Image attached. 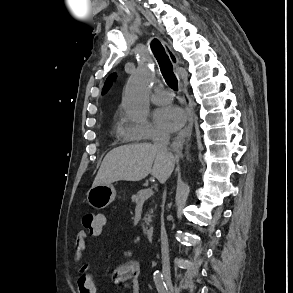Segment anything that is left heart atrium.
<instances>
[{
    "instance_id": "obj_1",
    "label": "left heart atrium",
    "mask_w": 293,
    "mask_h": 293,
    "mask_svg": "<svg viewBox=\"0 0 293 293\" xmlns=\"http://www.w3.org/2000/svg\"><path fill=\"white\" fill-rule=\"evenodd\" d=\"M156 125L166 132H173L180 128L185 120L183 111L173 105L158 108L153 114Z\"/></svg>"
}]
</instances>
